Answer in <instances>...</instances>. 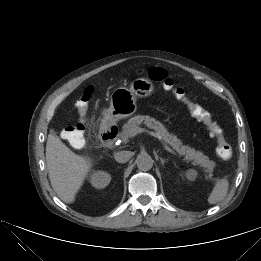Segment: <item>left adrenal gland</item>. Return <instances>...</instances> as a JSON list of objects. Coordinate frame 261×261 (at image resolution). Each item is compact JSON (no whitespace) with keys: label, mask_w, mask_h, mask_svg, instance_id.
Wrapping results in <instances>:
<instances>
[{"label":"left adrenal gland","mask_w":261,"mask_h":261,"mask_svg":"<svg viewBox=\"0 0 261 261\" xmlns=\"http://www.w3.org/2000/svg\"><path fill=\"white\" fill-rule=\"evenodd\" d=\"M160 160H161L162 165L164 166V164H165V159H163V158L161 157Z\"/></svg>","instance_id":"1"}]
</instances>
